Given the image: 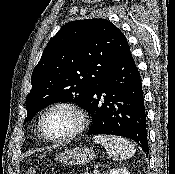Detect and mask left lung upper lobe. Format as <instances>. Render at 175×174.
I'll use <instances>...</instances> for the list:
<instances>
[{"label":"left lung upper lobe","mask_w":175,"mask_h":174,"mask_svg":"<svg viewBox=\"0 0 175 174\" xmlns=\"http://www.w3.org/2000/svg\"><path fill=\"white\" fill-rule=\"evenodd\" d=\"M127 46L126 37L108 20L65 24L48 43L33 70L25 122L55 102H75L86 108L93 89Z\"/></svg>","instance_id":"1"}]
</instances>
